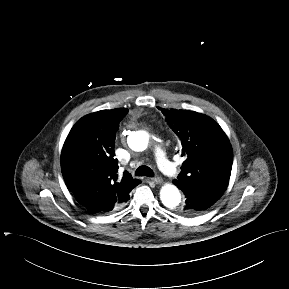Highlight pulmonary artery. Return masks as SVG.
Listing matches in <instances>:
<instances>
[{
	"label": "pulmonary artery",
	"mask_w": 289,
	"mask_h": 289,
	"mask_svg": "<svg viewBox=\"0 0 289 289\" xmlns=\"http://www.w3.org/2000/svg\"><path fill=\"white\" fill-rule=\"evenodd\" d=\"M155 156L157 160V164L160 170L170 176L175 177L177 175V170L174 165L167 159L165 152L160 148L157 147L155 150Z\"/></svg>",
	"instance_id": "1"
}]
</instances>
